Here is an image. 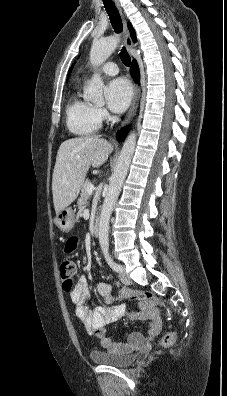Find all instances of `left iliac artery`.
I'll list each match as a JSON object with an SVG mask.
<instances>
[{
	"label": "left iliac artery",
	"mask_w": 227,
	"mask_h": 396,
	"mask_svg": "<svg viewBox=\"0 0 227 396\" xmlns=\"http://www.w3.org/2000/svg\"><path fill=\"white\" fill-rule=\"evenodd\" d=\"M105 259L108 265L116 272L121 271V266L117 264L109 254H105Z\"/></svg>",
	"instance_id": "left-iliac-artery-1"
}]
</instances>
